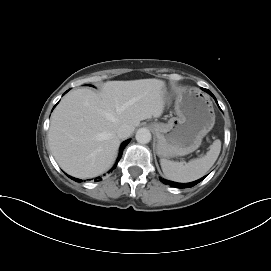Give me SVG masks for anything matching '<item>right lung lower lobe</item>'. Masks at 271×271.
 Wrapping results in <instances>:
<instances>
[{
  "mask_svg": "<svg viewBox=\"0 0 271 271\" xmlns=\"http://www.w3.org/2000/svg\"><path fill=\"white\" fill-rule=\"evenodd\" d=\"M129 141H130V140H127V141H125V142L121 145L120 153H119V155H118V158H117V160H116V163H115V165L112 167V169H111L109 172H111L113 169L116 168L117 163H118V161L120 160V158H121V156H122L123 149H124V147L129 143ZM69 177H70L71 179L75 180V181L81 182L80 179L73 178V177H71V176H69ZM99 178H100V177H98V178H96V179H99ZM95 181H96V180H95Z\"/></svg>",
  "mask_w": 271,
  "mask_h": 271,
  "instance_id": "1",
  "label": "right lung lower lobe"
}]
</instances>
